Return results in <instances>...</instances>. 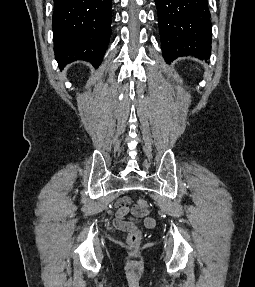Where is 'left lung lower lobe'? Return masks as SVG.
Instances as JSON below:
<instances>
[{"instance_id":"left-lung-lower-lobe-1","label":"left lung lower lobe","mask_w":255,"mask_h":287,"mask_svg":"<svg viewBox=\"0 0 255 287\" xmlns=\"http://www.w3.org/2000/svg\"><path fill=\"white\" fill-rule=\"evenodd\" d=\"M154 1L165 61L191 55L207 62L212 35L207 0Z\"/></svg>"}]
</instances>
